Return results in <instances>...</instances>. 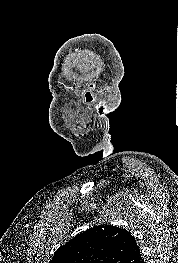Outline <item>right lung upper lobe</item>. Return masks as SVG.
Masks as SVG:
<instances>
[{
  "label": "right lung upper lobe",
  "mask_w": 178,
  "mask_h": 263,
  "mask_svg": "<svg viewBox=\"0 0 178 263\" xmlns=\"http://www.w3.org/2000/svg\"><path fill=\"white\" fill-rule=\"evenodd\" d=\"M49 263H144L135 238L113 225L94 226L72 238Z\"/></svg>",
  "instance_id": "1"
}]
</instances>
